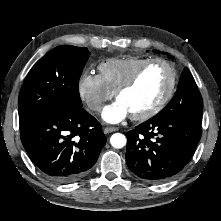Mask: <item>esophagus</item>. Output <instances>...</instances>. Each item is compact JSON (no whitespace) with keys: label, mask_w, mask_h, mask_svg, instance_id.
Segmentation results:
<instances>
[{"label":"esophagus","mask_w":221,"mask_h":221,"mask_svg":"<svg viewBox=\"0 0 221 221\" xmlns=\"http://www.w3.org/2000/svg\"><path fill=\"white\" fill-rule=\"evenodd\" d=\"M117 130H118L117 127H105L104 130H103V132H104L105 134H108V133H110V132H114V131H117Z\"/></svg>","instance_id":"34e87169"}]
</instances>
